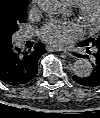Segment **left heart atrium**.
<instances>
[{"mask_svg": "<svg viewBox=\"0 0 100 118\" xmlns=\"http://www.w3.org/2000/svg\"><path fill=\"white\" fill-rule=\"evenodd\" d=\"M40 38L54 48H61L81 36L80 27L73 22L52 20L39 29Z\"/></svg>", "mask_w": 100, "mask_h": 118, "instance_id": "1", "label": "left heart atrium"}]
</instances>
